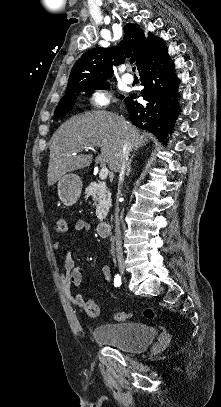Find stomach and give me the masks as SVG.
Here are the masks:
<instances>
[{
    "label": "stomach",
    "instance_id": "1",
    "mask_svg": "<svg viewBox=\"0 0 221 407\" xmlns=\"http://www.w3.org/2000/svg\"><path fill=\"white\" fill-rule=\"evenodd\" d=\"M81 189V178L74 173L62 176L57 183L58 196L66 206H71L77 202L81 196Z\"/></svg>",
    "mask_w": 221,
    "mask_h": 407
}]
</instances>
